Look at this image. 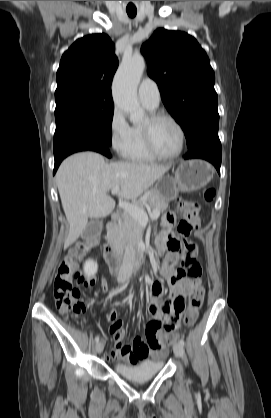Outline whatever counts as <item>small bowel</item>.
<instances>
[{
	"instance_id": "small-bowel-1",
	"label": "small bowel",
	"mask_w": 271,
	"mask_h": 418,
	"mask_svg": "<svg viewBox=\"0 0 271 418\" xmlns=\"http://www.w3.org/2000/svg\"><path fill=\"white\" fill-rule=\"evenodd\" d=\"M166 222L172 224V216H168ZM178 260L179 254L171 251L167 254L165 264L160 269V275L169 286V299L164 298V288L160 282H154L151 285V300L148 307L150 321L145 329V340L136 337L131 345H123L125 333L122 322L117 319L115 312L108 315V320L112 323L110 331L114 341V346L109 348L105 355L108 360L138 364L149 359L159 360L166 355L165 342L170 338V333L179 326V320L184 310V308L176 306L175 300L194 292L201 286L199 278L178 276V271L175 268ZM94 282L93 279H85L79 281V285L86 287ZM103 287H106L105 283H103ZM167 324H170L172 329H166Z\"/></svg>"
}]
</instances>
